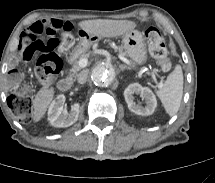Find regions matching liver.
<instances>
[{
	"label": "liver",
	"instance_id": "1",
	"mask_svg": "<svg viewBox=\"0 0 215 183\" xmlns=\"http://www.w3.org/2000/svg\"><path fill=\"white\" fill-rule=\"evenodd\" d=\"M78 26L88 35L97 36L98 38H114L130 32L137 25L135 22L129 20L95 19L81 21L78 23ZM53 97L54 89L48 85H44L37 92L35 99L33 100L34 122L40 121L45 115Z\"/></svg>",
	"mask_w": 215,
	"mask_h": 183
}]
</instances>
